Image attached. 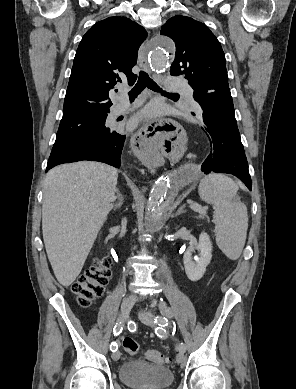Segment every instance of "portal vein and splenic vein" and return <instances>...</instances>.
<instances>
[{"label": "portal vein and splenic vein", "instance_id": "1", "mask_svg": "<svg viewBox=\"0 0 296 389\" xmlns=\"http://www.w3.org/2000/svg\"><path fill=\"white\" fill-rule=\"evenodd\" d=\"M187 202L190 204L191 209H193L195 211H199L200 210V208H199L200 206L197 203H194L191 200H188Z\"/></svg>", "mask_w": 296, "mask_h": 389}]
</instances>
